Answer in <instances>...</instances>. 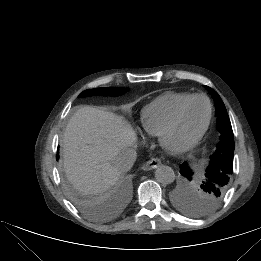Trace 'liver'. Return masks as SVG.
Returning <instances> with one entry per match:
<instances>
[{
  "instance_id": "obj_1",
  "label": "liver",
  "mask_w": 261,
  "mask_h": 261,
  "mask_svg": "<svg viewBox=\"0 0 261 261\" xmlns=\"http://www.w3.org/2000/svg\"><path fill=\"white\" fill-rule=\"evenodd\" d=\"M136 140L135 131L121 116L91 106L79 108L63 135L67 178L83 194L107 190L121 175L116 157Z\"/></svg>"
}]
</instances>
